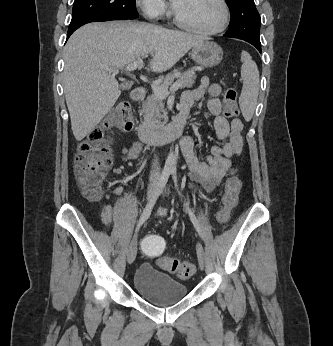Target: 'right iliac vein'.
Here are the masks:
<instances>
[{"instance_id": "right-iliac-vein-1", "label": "right iliac vein", "mask_w": 333, "mask_h": 346, "mask_svg": "<svg viewBox=\"0 0 333 346\" xmlns=\"http://www.w3.org/2000/svg\"><path fill=\"white\" fill-rule=\"evenodd\" d=\"M156 185H157V180L154 179L148 187L147 195H146L148 202L152 198V195L156 189ZM136 255H137V236L135 235L133 239L131 240L127 250V261L129 264H132L134 262Z\"/></svg>"}]
</instances>
